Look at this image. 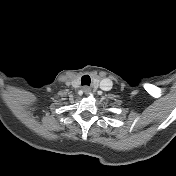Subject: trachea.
Wrapping results in <instances>:
<instances>
[{"label":"trachea","instance_id":"trachea-1","mask_svg":"<svg viewBox=\"0 0 176 176\" xmlns=\"http://www.w3.org/2000/svg\"><path fill=\"white\" fill-rule=\"evenodd\" d=\"M91 82L90 76L85 75L81 78V84L89 86Z\"/></svg>","mask_w":176,"mask_h":176}]
</instances>
